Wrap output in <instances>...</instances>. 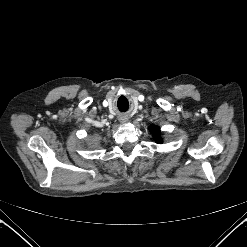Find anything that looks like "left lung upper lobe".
Masks as SVG:
<instances>
[{"instance_id":"5c2ea615","label":"left lung upper lobe","mask_w":247,"mask_h":247,"mask_svg":"<svg viewBox=\"0 0 247 247\" xmlns=\"http://www.w3.org/2000/svg\"><path fill=\"white\" fill-rule=\"evenodd\" d=\"M149 130L153 134V138L155 142L161 144L163 142V139L160 137L161 134L160 128L156 125H151Z\"/></svg>"}]
</instances>
